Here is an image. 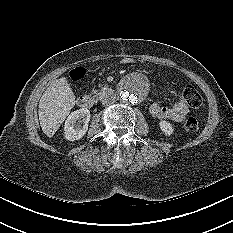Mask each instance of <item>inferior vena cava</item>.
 I'll list each match as a JSON object with an SVG mask.
<instances>
[{"label":"inferior vena cava","mask_w":233,"mask_h":233,"mask_svg":"<svg viewBox=\"0 0 233 233\" xmlns=\"http://www.w3.org/2000/svg\"><path fill=\"white\" fill-rule=\"evenodd\" d=\"M115 101H116V96L115 95H110V96H108V97H106V98H104L102 100V104L104 106H108V105H111V104L115 103Z\"/></svg>","instance_id":"obj_1"}]
</instances>
